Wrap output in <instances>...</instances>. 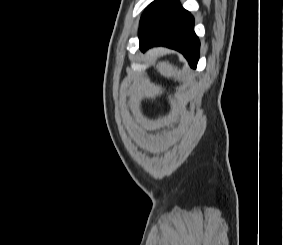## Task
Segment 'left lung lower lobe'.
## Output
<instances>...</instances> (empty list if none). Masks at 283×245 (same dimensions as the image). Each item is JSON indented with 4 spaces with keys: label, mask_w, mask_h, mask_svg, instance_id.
Returning <instances> with one entry per match:
<instances>
[{
    "label": "left lung lower lobe",
    "mask_w": 283,
    "mask_h": 245,
    "mask_svg": "<svg viewBox=\"0 0 283 245\" xmlns=\"http://www.w3.org/2000/svg\"><path fill=\"white\" fill-rule=\"evenodd\" d=\"M140 49L167 46L181 52L191 67L199 58V40L194 32L193 16L176 0L169 10L146 33L139 35Z\"/></svg>",
    "instance_id": "left-lung-lower-lobe-1"
}]
</instances>
